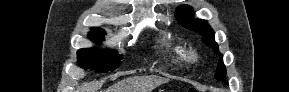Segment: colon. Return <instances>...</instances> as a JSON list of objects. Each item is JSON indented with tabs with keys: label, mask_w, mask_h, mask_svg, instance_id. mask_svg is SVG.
Instances as JSON below:
<instances>
[{
	"label": "colon",
	"mask_w": 289,
	"mask_h": 92,
	"mask_svg": "<svg viewBox=\"0 0 289 92\" xmlns=\"http://www.w3.org/2000/svg\"><path fill=\"white\" fill-rule=\"evenodd\" d=\"M188 92H198L195 88H189Z\"/></svg>",
	"instance_id": "5ec220e1"
}]
</instances>
